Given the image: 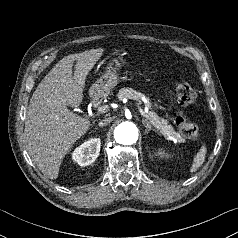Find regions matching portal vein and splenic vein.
<instances>
[{
  "label": "portal vein and splenic vein",
  "instance_id": "portal-vein-and-splenic-vein-1",
  "mask_svg": "<svg viewBox=\"0 0 238 238\" xmlns=\"http://www.w3.org/2000/svg\"><path fill=\"white\" fill-rule=\"evenodd\" d=\"M108 108H109L108 106H102L98 109V111L101 112V113H105V112L108 111ZM139 111H140L141 115H143L147 119L149 118V116L141 108H139Z\"/></svg>",
  "mask_w": 238,
  "mask_h": 238
}]
</instances>
